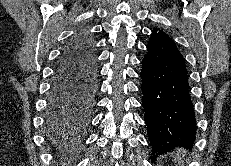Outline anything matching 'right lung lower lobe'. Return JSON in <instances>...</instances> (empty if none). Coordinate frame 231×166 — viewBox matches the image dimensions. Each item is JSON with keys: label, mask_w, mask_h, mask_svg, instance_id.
I'll return each mask as SVG.
<instances>
[{"label": "right lung lower lobe", "mask_w": 231, "mask_h": 166, "mask_svg": "<svg viewBox=\"0 0 231 166\" xmlns=\"http://www.w3.org/2000/svg\"><path fill=\"white\" fill-rule=\"evenodd\" d=\"M96 89L94 42L89 34L79 33L65 47L52 78L45 115L48 133H80L90 119Z\"/></svg>", "instance_id": "obj_1"}]
</instances>
